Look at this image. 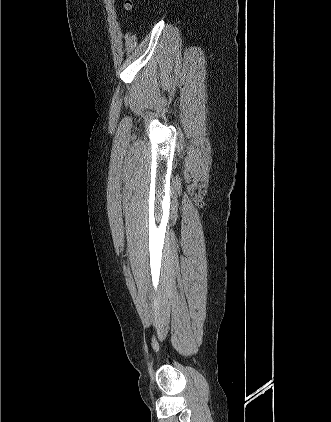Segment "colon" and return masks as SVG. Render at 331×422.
Wrapping results in <instances>:
<instances>
[{
    "instance_id": "obj_1",
    "label": "colon",
    "mask_w": 331,
    "mask_h": 422,
    "mask_svg": "<svg viewBox=\"0 0 331 422\" xmlns=\"http://www.w3.org/2000/svg\"><path fill=\"white\" fill-rule=\"evenodd\" d=\"M124 1V9L126 12L132 10L134 0H123Z\"/></svg>"
}]
</instances>
